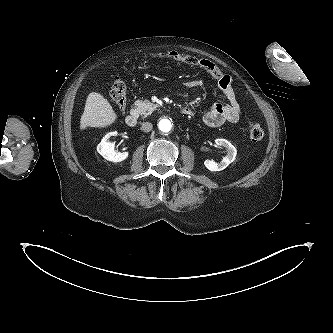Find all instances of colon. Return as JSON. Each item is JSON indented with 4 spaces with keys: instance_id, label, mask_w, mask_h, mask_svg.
<instances>
[{
    "instance_id": "obj_1",
    "label": "colon",
    "mask_w": 333,
    "mask_h": 333,
    "mask_svg": "<svg viewBox=\"0 0 333 333\" xmlns=\"http://www.w3.org/2000/svg\"><path fill=\"white\" fill-rule=\"evenodd\" d=\"M155 57L199 67L203 69L206 73L211 75L213 78H216L218 80L224 77L223 72L213 62L207 59H200L175 51L161 53L156 55ZM110 96L111 101L116 107V109L119 112H123L127 102V88L125 82L120 77L114 78L110 89ZM247 128L249 137L252 141L257 142L263 139L265 132L258 123L254 121H249Z\"/></svg>"
}]
</instances>
